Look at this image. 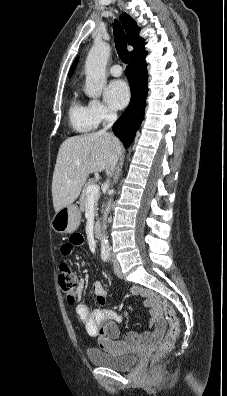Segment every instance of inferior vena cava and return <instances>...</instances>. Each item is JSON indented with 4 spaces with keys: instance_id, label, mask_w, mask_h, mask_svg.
Instances as JSON below:
<instances>
[{
    "instance_id": "602c4592",
    "label": "inferior vena cava",
    "mask_w": 227,
    "mask_h": 396,
    "mask_svg": "<svg viewBox=\"0 0 227 396\" xmlns=\"http://www.w3.org/2000/svg\"><path fill=\"white\" fill-rule=\"evenodd\" d=\"M117 119V113L114 110H110L109 114L107 116V120H108V124L101 130V132H106L111 126L112 124L116 121ZM111 137H114V135L112 133H108ZM118 161V156L114 155L112 157V159L110 160L107 168H106V174L107 176H112L114 170H115V166L117 164ZM107 183H109V180H107Z\"/></svg>"
}]
</instances>
